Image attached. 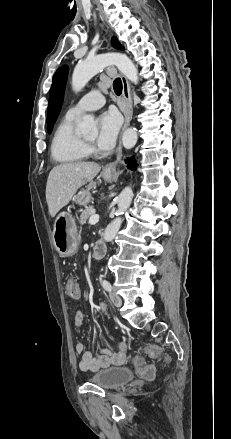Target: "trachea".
I'll return each instance as SVG.
<instances>
[{
  "label": "trachea",
  "instance_id": "obj_1",
  "mask_svg": "<svg viewBox=\"0 0 231 439\" xmlns=\"http://www.w3.org/2000/svg\"><path fill=\"white\" fill-rule=\"evenodd\" d=\"M113 89L116 95H120L122 93V81L120 78H116L114 80Z\"/></svg>",
  "mask_w": 231,
  "mask_h": 439
}]
</instances>
